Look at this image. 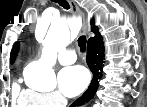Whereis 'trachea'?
Returning a JSON list of instances; mask_svg holds the SVG:
<instances>
[{"instance_id":"obj_1","label":"trachea","mask_w":147,"mask_h":107,"mask_svg":"<svg viewBox=\"0 0 147 107\" xmlns=\"http://www.w3.org/2000/svg\"><path fill=\"white\" fill-rule=\"evenodd\" d=\"M54 2L58 3L64 9H69V3L66 0H54ZM86 36L82 35L78 38V45L81 51H85L86 49Z\"/></svg>"}]
</instances>
